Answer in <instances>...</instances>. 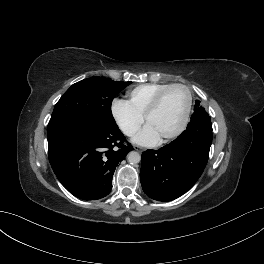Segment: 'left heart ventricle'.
Masks as SVG:
<instances>
[{
	"instance_id": "left-heart-ventricle-1",
	"label": "left heart ventricle",
	"mask_w": 264,
	"mask_h": 264,
	"mask_svg": "<svg viewBox=\"0 0 264 264\" xmlns=\"http://www.w3.org/2000/svg\"><path fill=\"white\" fill-rule=\"evenodd\" d=\"M186 100L187 95L183 89L169 90L147 123L156 130L160 137L172 132L182 119Z\"/></svg>"
}]
</instances>
